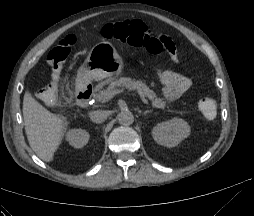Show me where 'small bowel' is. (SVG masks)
Returning a JSON list of instances; mask_svg holds the SVG:
<instances>
[{
    "label": "small bowel",
    "instance_id": "c3829d8e",
    "mask_svg": "<svg viewBox=\"0 0 254 216\" xmlns=\"http://www.w3.org/2000/svg\"><path fill=\"white\" fill-rule=\"evenodd\" d=\"M161 43L169 54L171 63L176 64L180 60V55L176 51L174 42L169 37L164 36ZM161 83V94L167 100H175L179 98L191 86V79L181 73L166 70L159 73Z\"/></svg>",
    "mask_w": 254,
    "mask_h": 216
}]
</instances>
